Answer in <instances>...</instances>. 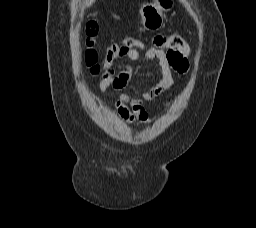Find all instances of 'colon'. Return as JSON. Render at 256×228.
<instances>
[{
  "label": "colon",
  "mask_w": 256,
  "mask_h": 228,
  "mask_svg": "<svg viewBox=\"0 0 256 228\" xmlns=\"http://www.w3.org/2000/svg\"><path fill=\"white\" fill-rule=\"evenodd\" d=\"M100 26L98 21L93 17L86 24V39L85 44L87 50L85 52V63L88 66L91 74L98 77L103 74L104 63H114L118 60L120 54L128 49L135 48L138 43L132 39H126L119 43L111 44L105 53L103 64L98 63V55L95 50L96 40L99 34ZM168 45L171 49L178 51L184 57L190 54V48L187 42L180 35H172L168 37Z\"/></svg>",
  "instance_id": "colon-1"
}]
</instances>
